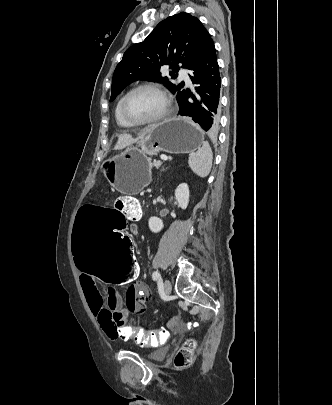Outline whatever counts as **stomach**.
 Listing matches in <instances>:
<instances>
[{"label": "stomach", "instance_id": "1", "mask_svg": "<svg viewBox=\"0 0 332 405\" xmlns=\"http://www.w3.org/2000/svg\"><path fill=\"white\" fill-rule=\"evenodd\" d=\"M204 135L189 118H170L156 124L154 130L139 141L140 148L130 147L105 160L101 171L120 193L135 195L151 179V156L159 152L193 153L201 147Z\"/></svg>", "mask_w": 332, "mask_h": 405}]
</instances>
